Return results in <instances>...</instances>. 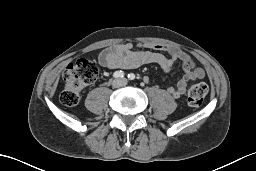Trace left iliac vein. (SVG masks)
I'll use <instances>...</instances> for the list:
<instances>
[{
  "label": "left iliac vein",
  "mask_w": 256,
  "mask_h": 171,
  "mask_svg": "<svg viewBox=\"0 0 256 171\" xmlns=\"http://www.w3.org/2000/svg\"><path fill=\"white\" fill-rule=\"evenodd\" d=\"M122 83L125 84L126 83V79H121Z\"/></svg>",
  "instance_id": "left-iliac-vein-1"
}]
</instances>
